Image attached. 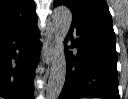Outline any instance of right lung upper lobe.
<instances>
[{"label": "right lung upper lobe", "instance_id": "1", "mask_svg": "<svg viewBox=\"0 0 128 99\" xmlns=\"http://www.w3.org/2000/svg\"><path fill=\"white\" fill-rule=\"evenodd\" d=\"M35 15L33 0H0V34Z\"/></svg>", "mask_w": 128, "mask_h": 99}]
</instances>
